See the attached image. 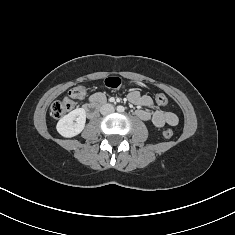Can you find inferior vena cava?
I'll return each instance as SVG.
<instances>
[{
    "label": "inferior vena cava",
    "mask_w": 235,
    "mask_h": 235,
    "mask_svg": "<svg viewBox=\"0 0 235 235\" xmlns=\"http://www.w3.org/2000/svg\"><path fill=\"white\" fill-rule=\"evenodd\" d=\"M100 112H101L102 115H107L109 113L114 112V107L111 104H104L100 108Z\"/></svg>",
    "instance_id": "obj_1"
}]
</instances>
